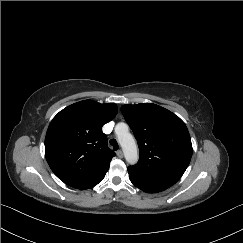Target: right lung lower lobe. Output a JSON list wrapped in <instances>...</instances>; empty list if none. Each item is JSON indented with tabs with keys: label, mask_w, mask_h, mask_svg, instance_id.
Instances as JSON below:
<instances>
[{
	"label": "right lung lower lobe",
	"mask_w": 243,
	"mask_h": 243,
	"mask_svg": "<svg viewBox=\"0 0 243 243\" xmlns=\"http://www.w3.org/2000/svg\"><path fill=\"white\" fill-rule=\"evenodd\" d=\"M107 172V171H106ZM106 172L102 173L101 175L97 176L96 178L90 180L87 183H84L82 185L76 186L77 189H89L95 185H97L99 182H101L106 174Z\"/></svg>",
	"instance_id": "right-lung-lower-lobe-1"
}]
</instances>
